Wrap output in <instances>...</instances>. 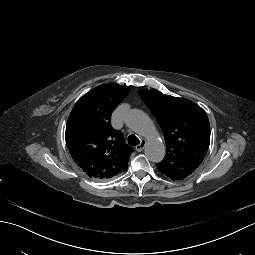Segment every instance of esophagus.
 <instances>
[{
    "label": "esophagus",
    "instance_id": "obj_1",
    "mask_svg": "<svg viewBox=\"0 0 255 255\" xmlns=\"http://www.w3.org/2000/svg\"><path fill=\"white\" fill-rule=\"evenodd\" d=\"M145 144H146V141L141 140V142L138 145H136V147H135L136 151L141 152L144 149Z\"/></svg>",
    "mask_w": 255,
    "mask_h": 255
}]
</instances>
